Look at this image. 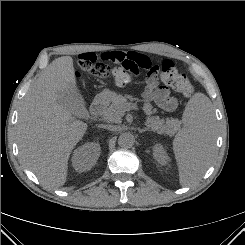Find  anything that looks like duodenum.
Here are the masks:
<instances>
[{"mask_svg":"<svg viewBox=\"0 0 245 245\" xmlns=\"http://www.w3.org/2000/svg\"><path fill=\"white\" fill-rule=\"evenodd\" d=\"M107 102H108V98L104 95L96 97L90 108L91 113L95 116L100 115L104 110V108L106 107Z\"/></svg>","mask_w":245,"mask_h":245,"instance_id":"410a0bca","label":"duodenum"}]
</instances>
